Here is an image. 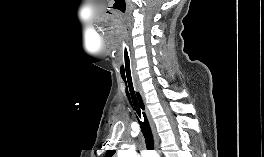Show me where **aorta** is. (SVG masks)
Instances as JSON below:
<instances>
[{
    "instance_id": "762f6f07",
    "label": "aorta",
    "mask_w": 264,
    "mask_h": 157,
    "mask_svg": "<svg viewBox=\"0 0 264 157\" xmlns=\"http://www.w3.org/2000/svg\"><path fill=\"white\" fill-rule=\"evenodd\" d=\"M135 151L133 148L128 150H122L118 153V157H135Z\"/></svg>"
}]
</instances>
